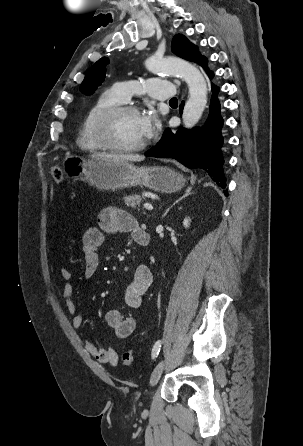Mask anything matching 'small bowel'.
<instances>
[{"mask_svg":"<svg viewBox=\"0 0 303 446\" xmlns=\"http://www.w3.org/2000/svg\"><path fill=\"white\" fill-rule=\"evenodd\" d=\"M136 219L128 212L116 208L107 207L98 215L97 226L89 227L82 235L69 238L68 244H80L84 256V276L86 279L92 278L99 269L100 255L99 249L105 241L108 234L127 233L133 240L142 232ZM61 278L66 281L63 288V296L66 302L68 312L72 315V324L79 328L83 324V317L77 312L73 300L74 285L71 282V272L61 267ZM153 282V276L144 264H140L134 273L132 281L124 292V303L130 310L128 315H124L121 310H109L105 314L107 325L112 328L119 339L129 337L136 327V321L132 311L141 306L142 299L148 288ZM86 351L98 362L116 366L118 363V354L113 348H99L93 342H87Z\"/></svg>","mask_w":303,"mask_h":446,"instance_id":"obj_1","label":"small bowel"}]
</instances>
